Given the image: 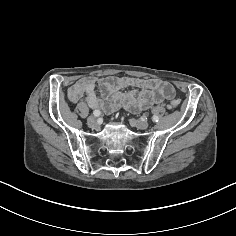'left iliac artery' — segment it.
I'll use <instances>...</instances> for the list:
<instances>
[{"mask_svg": "<svg viewBox=\"0 0 236 236\" xmlns=\"http://www.w3.org/2000/svg\"><path fill=\"white\" fill-rule=\"evenodd\" d=\"M158 120H159L158 116H155V115H154V116L152 117V121H153V122H158Z\"/></svg>", "mask_w": 236, "mask_h": 236, "instance_id": "obj_1", "label": "left iliac artery"}]
</instances>
